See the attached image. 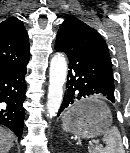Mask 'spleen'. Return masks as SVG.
I'll use <instances>...</instances> for the list:
<instances>
[{
	"label": "spleen",
	"mask_w": 130,
	"mask_h": 153,
	"mask_svg": "<svg viewBox=\"0 0 130 153\" xmlns=\"http://www.w3.org/2000/svg\"><path fill=\"white\" fill-rule=\"evenodd\" d=\"M70 112V109L64 114L63 121L65 116ZM63 130L67 131L66 126L63 123ZM104 141L106 142V147L102 148L95 146L90 153H125L124 147L121 141V135L117 127L113 126L108 128L104 132Z\"/></svg>",
	"instance_id": "1"
}]
</instances>
